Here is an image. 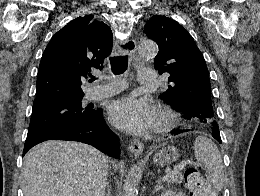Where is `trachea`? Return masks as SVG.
<instances>
[{
	"label": "trachea",
	"instance_id": "3493384b",
	"mask_svg": "<svg viewBox=\"0 0 260 196\" xmlns=\"http://www.w3.org/2000/svg\"><path fill=\"white\" fill-rule=\"evenodd\" d=\"M111 69L115 75L124 73L128 68V56H112L110 58ZM95 77L90 78V82L95 81Z\"/></svg>",
	"mask_w": 260,
	"mask_h": 196
}]
</instances>
